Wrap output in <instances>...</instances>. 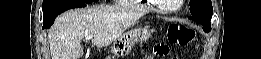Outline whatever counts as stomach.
<instances>
[{"mask_svg":"<svg viewBox=\"0 0 261 59\" xmlns=\"http://www.w3.org/2000/svg\"><path fill=\"white\" fill-rule=\"evenodd\" d=\"M150 32L145 28H137L122 35L114 42L111 53L116 57H123L130 53L137 42L146 41Z\"/></svg>","mask_w":261,"mask_h":59,"instance_id":"obj_1","label":"stomach"}]
</instances>
